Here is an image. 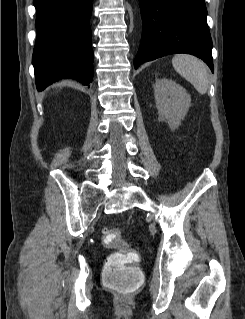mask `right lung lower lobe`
<instances>
[{
  "instance_id": "right-lung-lower-lobe-1",
  "label": "right lung lower lobe",
  "mask_w": 245,
  "mask_h": 319,
  "mask_svg": "<svg viewBox=\"0 0 245 319\" xmlns=\"http://www.w3.org/2000/svg\"><path fill=\"white\" fill-rule=\"evenodd\" d=\"M37 39L32 64L36 86L44 90L62 78L92 82L93 51L89 19L92 0H33Z\"/></svg>"
}]
</instances>
